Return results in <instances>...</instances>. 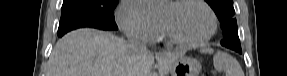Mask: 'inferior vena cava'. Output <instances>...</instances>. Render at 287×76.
<instances>
[{
    "mask_svg": "<svg viewBox=\"0 0 287 76\" xmlns=\"http://www.w3.org/2000/svg\"><path fill=\"white\" fill-rule=\"evenodd\" d=\"M128 42L133 47L136 52H147V47L145 44L139 42L134 37H128Z\"/></svg>",
    "mask_w": 287,
    "mask_h": 76,
    "instance_id": "obj_1",
    "label": "inferior vena cava"
}]
</instances>
